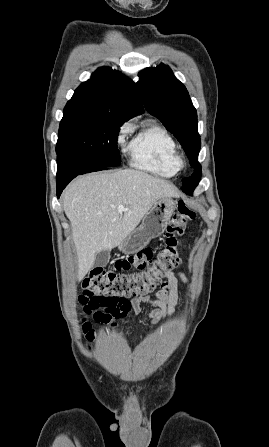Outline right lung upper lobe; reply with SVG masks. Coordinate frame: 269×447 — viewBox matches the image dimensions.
<instances>
[{
  "mask_svg": "<svg viewBox=\"0 0 269 447\" xmlns=\"http://www.w3.org/2000/svg\"><path fill=\"white\" fill-rule=\"evenodd\" d=\"M144 111L136 84L110 67L98 68L83 82L63 110L80 116L127 121Z\"/></svg>",
  "mask_w": 269,
  "mask_h": 447,
  "instance_id": "1",
  "label": "right lung upper lobe"
}]
</instances>
